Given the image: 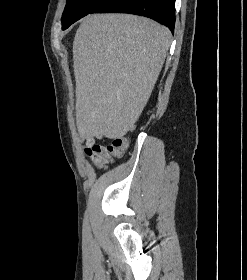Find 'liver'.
<instances>
[{"mask_svg": "<svg viewBox=\"0 0 247 280\" xmlns=\"http://www.w3.org/2000/svg\"><path fill=\"white\" fill-rule=\"evenodd\" d=\"M171 42L168 28L130 14L82 20L73 41L76 122L85 137H123L152 93Z\"/></svg>", "mask_w": 247, "mask_h": 280, "instance_id": "6515ba94", "label": "liver"}]
</instances>
